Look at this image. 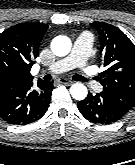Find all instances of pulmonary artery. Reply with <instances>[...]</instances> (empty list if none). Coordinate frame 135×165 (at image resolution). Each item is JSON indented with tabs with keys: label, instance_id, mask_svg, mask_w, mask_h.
<instances>
[{
	"label": "pulmonary artery",
	"instance_id": "obj_1",
	"mask_svg": "<svg viewBox=\"0 0 135 165\" xmlns=\"http://www.w3.org/2000/svg\"><path fill=\"white\" fill-rule=\"evenodd\" d=\"M92 38L89 34L83 33L74 42L71 53L54 62L46 68L51 73H62L77 68L81 76L95 90L100 91V84L94 79L91 67L88 66V57L91 50Z\"/></svg>",
	"mask_w": 135,
	"mask_h": 165
}]
</instances>
